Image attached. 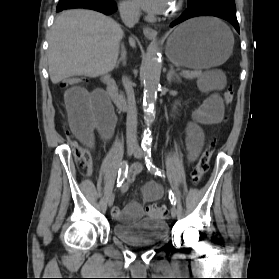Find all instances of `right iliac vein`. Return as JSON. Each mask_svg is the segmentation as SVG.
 <instances>
[{
  "instance_id": "1",
  "label": "right iliac vein",
  "mask_w": 279,
  "mask_h": 279,
  "mask_svg": "<svg viewBox=\"0 0 279 279\" xmlns=\"http://www.w3.org/2000/svg\"><path fill=\"white\" fill-rule=\"evenodd\" d=\"M134 151H135V150H134L133 147H131V146L128 147V149H127V156H128V157L131 156V155L134 153ZM114 199H115V196H114L113 193H111V194L109 195L108 201H107L109 207H111V206L113 205Z\"/></svg>"
}]
</instances>
